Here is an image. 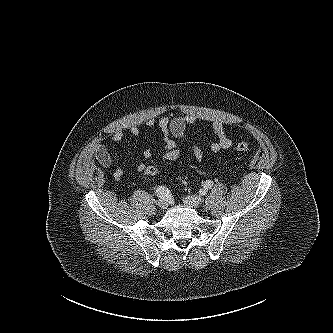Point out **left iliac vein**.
Instances as JSON below:
<instances>
[{
    "label": "left iliac vein",
    "mask_w": 333,
    "mask_h": 333,
    "mask_svg": "<svg viewBox=\"0 0 333 333\" xmlns=\"http://www.w3.org/2000/svg\"><path fill=\"white\" fill-rule=\"evenodd\" d=\"M184 203L190 207L197 208L201 205L202 199L198 196L191 195L183 199Z\"/></svg>",
    "instance_id": "1"
}]
</instances>
